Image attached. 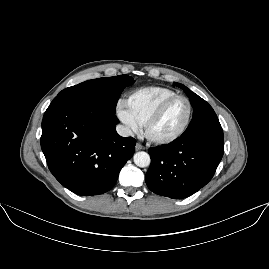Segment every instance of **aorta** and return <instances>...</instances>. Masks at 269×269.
Instances as JSON below:
<instances>
[{
    "mask_svg": "<svg viewBox=\"0 0 269 269\" xmlns=\"http://www.w3.org/2000/svg\"><path fill=\"white\" fill-rule=\"evenodd\" d=\"M150 155L146 152H138L134 156V163L139 168H146L150 165Z\"/></svg>",
    "mask_w": 269,
    "mask_h": 269,
    "instance_id": "1",
    "label": "aorta"
}]
</instances>
